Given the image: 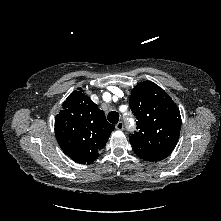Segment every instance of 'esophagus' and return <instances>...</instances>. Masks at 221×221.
<instances>
[{"mask_svg": "<svg viewBox=\"0 0 221 221\" xmlns=\"http://www.w3.org/2000/svg\"><path fill=\"white\" fill-rule=\"evenodd\" d=\"M115 127H116L117 130H123V129H124V124H123L122 121H120V122H118V123L116 124Z\"/></svg>", "mask_w": 221, "mask_h": 221, "instance_id": "1", "label": "esophagus"}]
</instances>
